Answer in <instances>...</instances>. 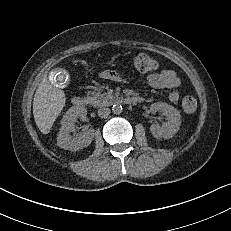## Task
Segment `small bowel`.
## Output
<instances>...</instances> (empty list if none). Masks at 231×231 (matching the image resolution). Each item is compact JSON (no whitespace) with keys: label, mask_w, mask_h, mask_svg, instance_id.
Masks as SVG:
<instances>
[{"label":"small bowel","mask_w":231,"mask_h":231,"mask_svg":"<svg viewBox=\"0 0 231 231\" xmlns=\"http://www.w3.org/2000/svg\"><path fill=\"white\" fill-rule=\"evenodd\" d=\"M100 77L106 80L126 82V79L122 75L113 70L102 71ZM147 83L155 89H170L171 92L168 97L171 102H177L180 98V94L176 89L181 85V79L173 70L164 69L154 72L148 75Z\"/></svg>","instance_id":"c3829d8e"}]
</instances>
